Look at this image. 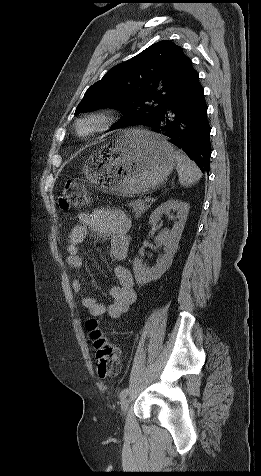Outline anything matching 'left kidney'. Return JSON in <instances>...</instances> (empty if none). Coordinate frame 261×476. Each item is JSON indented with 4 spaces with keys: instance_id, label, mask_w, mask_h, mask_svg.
Masks as SVG:
<instances>
[{
    "instance_id": "5707ae66",
    "label": "left kidney",
    "mask_w": 261,
    "mask_h": 476,
    "mask_svg": "<svg viewBox=\"0 0 261 476\" xmlns=\"http://www.w3.org/2000/svg\"><path fill=\"white\" fill-rule=\"evenodd\" d=\"M189 204L179 200H168L158 206L150 215L149 224L157 225L160 216L170 211L177 212V222L173 228L162 230L156 237L155 243L158 247H164V255L159 257L156 264L149 268L143 264V261L136 257L133 262V271L135 280L138 284H146L153 280L159 279L166 270L171 266L173 256L177 251L179 240L181 238L185 222L189 213Z\"/></svg>"
}]
</instances>
